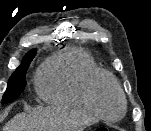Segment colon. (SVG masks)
I'll return each instance as SVG.
<instances>
[{"label":"colon","mask_w":151,"mask_h":131,"mask_svg":"<svg viewBox=\"0 0 151 131\" xmlns=\"http://www.w3.org/2000/svg\"><path fill=\"white\" fill-rule=\"evenodd\" d=\"M94 131H120L119 129L109 128L105 126H101L96 128Z\"/></svg>","instance_id":"obj_1"}]
</instances>
